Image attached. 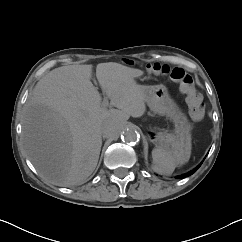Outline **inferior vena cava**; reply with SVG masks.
<instances>
[{"label": "inferior vena cava", "instance_id": "obj_1", "mask_svg": "<svg viewBox=\"0 0 242 242\" xmlns=\"http://www.w3.org/2000/svg\"><path fill=\"white\" fill-rule=\"evenodd\" d=\"M120 132L119 122L114 118H109L101 125L98 136L102 140H115Z\"/></svg>", "mask_w": 242, "mask_h": 242}]
</instances>
